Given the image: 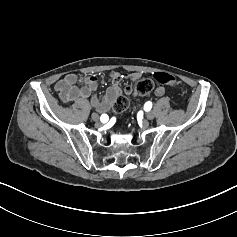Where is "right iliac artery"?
<instances>
[{
  "label": "right iliac artery",
  "mask_w": 237,
  "mask_h": 237,
  "mask_svg": "<svg viewBox=\"0 0 237 237\" xmlns=\"http://www.w3.org/2000/svg\"><path fill=\"white\" fill-rule=\"evenodd\" d=\"M108 119V115L107 114H102L100 117V120L103 122L104 120L106 121Z\"/></svg>",
  "instance_id": "right-iliac-artery-1"
}]
</instances>
